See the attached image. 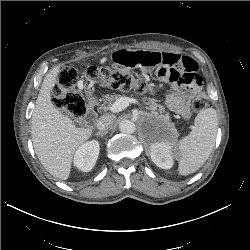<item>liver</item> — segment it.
<instances>
[{
    "instance_id": "6515ba94",
    "label": "liver",
    "mask_w": 250,
    "mask_h": 250,
    "mask_svg": "<svg viewBox=\"0 0 250 250\" xmlns=\"http://www.w3.org/2000/svg\"><path fill=\"white\" fill-rule=\"evenodd\" d=\"M60 66L45 76L31 118V136L35 153L54 177L67 180L73 155L92 135V128L77 127L51 101V91L58 80Z\"/></svg>"
}]
</instances>
